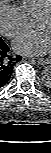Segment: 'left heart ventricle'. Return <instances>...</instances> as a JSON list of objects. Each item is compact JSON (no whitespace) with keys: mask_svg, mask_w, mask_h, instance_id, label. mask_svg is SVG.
Masks as SVG:
<instances>
[{"mask_svg":"<svg viewBox=\"0 0 51 153\" xmlns=\"http://www.w3.org/2000/svg\"><path fill=\"white\" fill-rule=\"evenodd\" d=\"M34 27L37 29H45L51 33V18L44 17L34 20Z\"/></svg>","mask_w":51,"mask_h":153,"instance_id":"1","label":"left heart ventricle"}]
</instances>
